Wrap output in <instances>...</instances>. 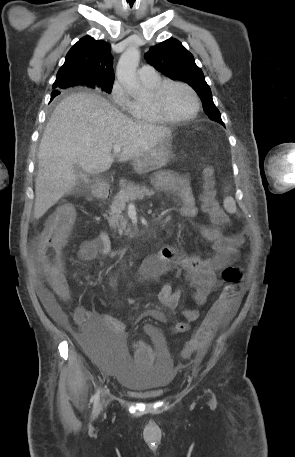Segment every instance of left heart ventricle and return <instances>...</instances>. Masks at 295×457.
Masks as SVG:
<instances>
[{
  "label": "left heart ventricle",
  "mask_w": 295,
  "mask_h": 457,
  "mask_svg": "<svg viewBox=\"0 0 295 457\" xmlns=\"http://www.w3.org/2000/svg\"><path fill=\"white\" fill-rule=\"evenodd\" d=\"M165 112L172 117H184L194 109V100L190 92L180 86H170L163 95Z\"/></svg>",
  "instance_id": "b2bd125f"
}]
</instances>
